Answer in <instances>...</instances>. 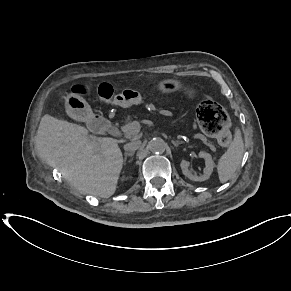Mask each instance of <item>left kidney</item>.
<instances>
[{
    "instance_id": "left-kidney-1",
    "label": "left kidney",
    "mask_w": 291,
    "mask_h": 291,
    "mask_svg": "<svg viewBox=\"0 0 291 291\" xmlns=\"http://www.w3.org/2000/svg\"><path fill=\"white\" fill-rule=\"evenodd\" d=\"M198 155L200 158H203L205 160V168H204L203 175H201V176L193 175L188 169L190 163L186 160H182L180 163V166L182 169V173L186 177H188L190 180H192V181H205V180L209 179L210 175L213 172L214 162H213L212 157L209 153H206L204 151H200Z\"/></svg>"
}]
</instances>
